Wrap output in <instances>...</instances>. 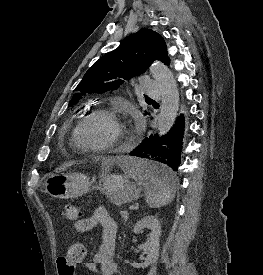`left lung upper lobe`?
<instances>
[{
	"label": "left lung upper lobe",
	"mask_w": 263,
	"mask_h": 275,
	"mask_svg": "<svg viewBox=\"0 0 263 275\" xmlns=\"http://www.w3.org/2000/svg\"><path fill=\"white\" fill-rule=\"evenodd\" d=\"M154 60L169 64L164 39L155 31L143 28L127 37L120 46L94 63L74 91L70 105L80 95L103 94L117 90L124 80L139 76Z\"/></svg>",
	"instance_id": "left-lung-upper-lobe-1"
}]
</instances>
